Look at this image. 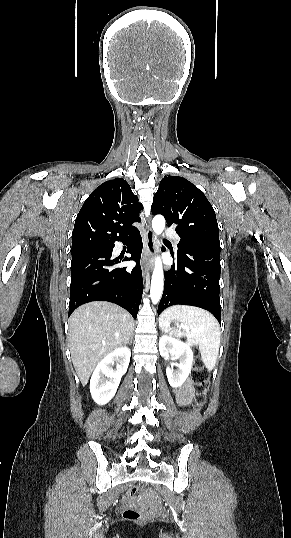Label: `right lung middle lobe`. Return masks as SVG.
<instances>
[{
	"instance_id": "1",
	"label": "right lung middle lobe",
	"mask_w": 291,
	"mask_h": 538,
	"mask_svg": "<svg viewBox=\"0 0 291 538\" xmlns=\"http://www.w3.org/2000/svg\"><path fill=\"white\" fill-rule=\"evenodd\" d=\"M109 246H95V247H88V248H82V249H75V250H71V254L72 256H75V255H79V254H82V253H86V252H90V251H94V250H100V249H104V248H108Z\"/></svg>"
}]
</instances>
